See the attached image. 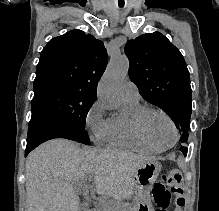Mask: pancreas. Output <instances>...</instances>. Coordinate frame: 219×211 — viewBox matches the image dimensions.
Instances as JSON below:
<instances>
[{"mask_svg": "<svg viewBox=\"0 0 219 211\" xmlns=\"http://www.w3.org/2000/svg\"><path fill=\"white\" fill-rule=\"evenodd\" d=\"M128 204H131V201L127 202ZM127 203L123 200H104V205L102 209L104 211H133L132 207H127Z\"/></svg>", "mask_w": 219, "mask_h": 211, "instance_id": "obj_1", "label": "pancreas"}]
</instances>
